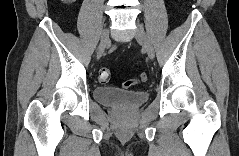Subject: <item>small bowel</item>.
Wrapping results in <instances>:
<instances>
[{
    "instance_id": "small-bowel-1",
    "label": "small bowel",
    "mask_w": 239,
    "mask_h": 156,
    "mask_svg": "<svg viewBox=\"0 0 239 156\" xmlns=\"http://www.w3.org/2000/svg\"><path fill=\"white\" fill-rule=\"evenodd\" d=\"M115 48H116V46H113V47H112V50H114Z\"/></svg>"
}]
</instances>
